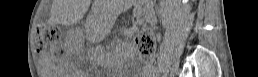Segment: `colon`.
Here are the masks:
<instances>
[{
	"mask_svg": "<svg viewBox=\"0 0 258 77\" xmlns=\"http://www.w3.org/2000/svg\"><path fill=\"white\" fill-rule=\"evenodd\" d=\"M36 35L40 48H45L60 37L57 29L44 23L37 26ZM135 43L141 61L144 63L151 62L156 49V36L154 32L150 29L142 30L137 34Z\"/></svg>",
	"mask_w": 258,
	"mask_h": 77,
	"instance_id": "colon-1",
	"label": "colon"
}]
</instances>
